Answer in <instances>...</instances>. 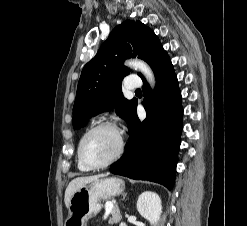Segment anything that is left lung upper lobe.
<instances>
[{
	"mask_svg": "<svg viewBox=\"0 0 247 226\" xmlns=\"http://www.w3.org/2000/svg\"><path fill=\"white\" fill-rule=\"evenodd\" d=\"M162 48L155 33L139 21L127 20L116 26L82 70L73 107L74 129L114 105L128 124L137 100H127L121 92V81L129 74L123 61L138 57L151 65Z\"/></svg>",
	"mask_w": 247,
	"mask_h": 226,
	"instance_id": "left-lung-upper-lobe-1",
	"label": "left lung upper lobe"
}]
</instances>
